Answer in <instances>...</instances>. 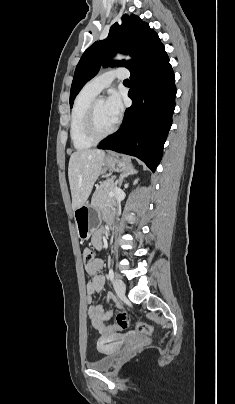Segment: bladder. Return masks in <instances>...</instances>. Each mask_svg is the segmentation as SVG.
I'll list each match as a JSON object with an SVG mask.
<instances>
[{"label":"bladder","instance_id":"bladder-1","mask_svg":"<svg viewBox=\"0 0 235 404\" xmlns=\"http://www.w3.org/2000/svg\"><path fill=\"white\" fill-rule=\"evenodd\" d=\"M98 350L100 353L103 354V356L93 362L87 363V366L96 371L110 370L114 366L119 356L118 349L109 351L99 345Z\"/></svg>","mask_w":235,"mask_h":404}]
</instances>
